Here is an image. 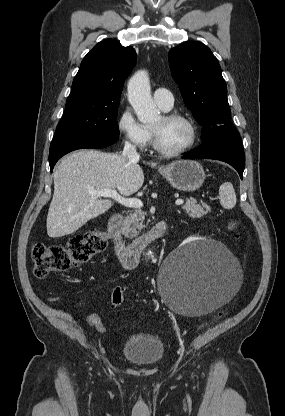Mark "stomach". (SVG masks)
Wrapping results in <instances>:
<instances>
[{
	"label": "stomach",
	"instance_id": "1",
	"mask_svg": "<svg viewBox=\"0 0 285 416\" xmlns=\"http://www.w3.org/2000/svg\"><path fill=\"white\" fill-rule=\"evenodd\" d=\"M160 174L167 182L181 192H195L205 180V172L194 160H176L169 166H161Z\"/></svg>",
	"mask_w": 285,
	"mask_h": 416
}]
</instances>
